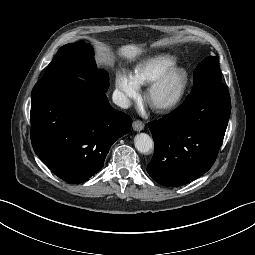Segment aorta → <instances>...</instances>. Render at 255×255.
Listing matches in <instances>:
<instances>
[{"instance_id": "obj_1", "label": "aorta", "mask_w": 255, "mask_h": 255, "mask_svg": "<svg viewBox=\"0 0 255 255\" xmlns=\"http://www.w3.org/2000/svg\"><path fill=\"white\" fill-rule=\"evenodd\" d=\"M135 148L141 153H149L153 148V140L146 133H139L134 139Z\"/></svg>"}]
</instances>
